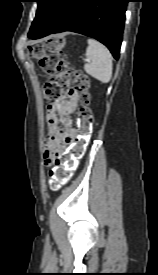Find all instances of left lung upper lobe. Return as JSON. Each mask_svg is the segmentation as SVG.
Returning a JSON list of instances; mask_svg holds the SVG:
<instances>
[{"label": "left lung upper lobe", "mask_w": 158, "mask_h": 275, "mask_svg": "<svg viewBox=\"0 0 158 275\" xmlns=\"http://www.w3.org/2000/svg\"><path fill=\"white\" fill-rule=\"evenodd\" d=\"M59 1L60 0H36L38 3L37 13L28 35L36 33L44 25Z\"/></svg>", "instance_id": "obj_1"}]
</instances>
